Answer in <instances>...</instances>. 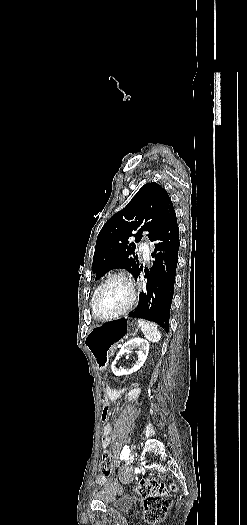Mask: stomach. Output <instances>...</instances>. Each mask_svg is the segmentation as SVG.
Returning a JSON list of instances; mask_svg holds the SVG:
<instances>
[{
	"label": "stomach",
	"instance_id": "0dacf381",
	"mask_svg": "<svg viewBox=\"0 0 247 525\" xmlns=\"http://www.w3.org/2000/svg\"><path fill=\"white\" fill-rule=\"evenodd\" d=\"M138 325L127 319L119 318L95 325L88 334L85 345L92 354L99 370H105L108 364V350L125 337L134 334Z\"/></svg>",
	"mask_w": 247,
	"mask_h": 525
}]
</instances>
